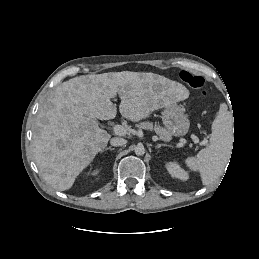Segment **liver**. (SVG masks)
Masks as SVG:
<instances>
[{
  "mask_svg": "<svg viewBox=\"0 0 259 259\" xmlns=\"http://www.w3.org/2000/svg\"><path fill=\"white\" fill-rule=\"evenodd\" d=\"M116 95L121 115L137 122L187 98V91L164 76L130 71L82 75L57 86L37 114L32 143L39 172L53 188L70 189L106 147L111 135L97 119L115 118Z\"/></svg>",
  "mask_w": 259,
  "mask_h": 259,
  "instance_id": "liver-1",
  "label": "liver"
}]
</instances>
